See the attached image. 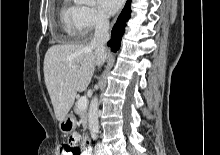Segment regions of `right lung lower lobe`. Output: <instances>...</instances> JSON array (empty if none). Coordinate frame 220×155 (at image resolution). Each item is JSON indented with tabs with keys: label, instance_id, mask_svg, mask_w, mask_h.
Segmentation results:
<instances>
[{
	"label": "right lung lower lobe",
	"instance_id": "98d812e1",
	"mask_svg": "<svg viewBox=\"0 0 220 155\" xmlns=\"http://www.w3.org/2000/svg\"><path fill=\"white\" fill-rule=\"evenodd\" d=\"M131 0H127L121 14L119 15L113 30L111 32V39L107 43L113 52H116L120 48L121 38L125 31L126 22L130 18L131 8H130Z\"/></svg>",
	"mask_w": 220,
	"mask_h": 155
}]
</instances>
